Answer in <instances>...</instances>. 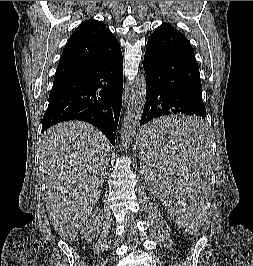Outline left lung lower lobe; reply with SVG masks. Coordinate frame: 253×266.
<instances>
[{
    "label": "left lung lower lobe",
    "instance_id": "left-lung-lower-lobe-1",
    "mask_svg": "<svg viewBox=\"0 0 253 266\" xmlns=\"http://www.w3.org/2000/svg\"><path fill=\"white\" fill-rule=\"evenodd\" d=\"M143 67L146 102L140 125H145L144 138L163 141L200 134L206 109L198 64L187 38L170 24H162L147 41ZM177 113L198 117L170 124L153 120Z\"/></svg>",
    "mask_w": 253,
    "mask_h": 266
}]
</instances>
